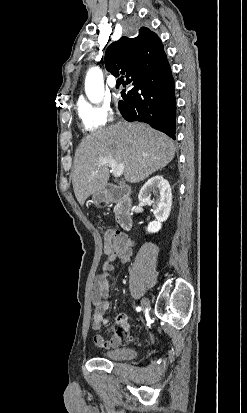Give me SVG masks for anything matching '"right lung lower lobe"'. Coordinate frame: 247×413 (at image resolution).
Returning <instances> with one entry per match:
<instances>
[{"label":"right lung lower lobe","mask_w":247,"mask_h":413,"mask_svg":"<svg viewBox=\"0 0 247 413\" xmlns=\"http://www.w3.org/2000/svg\"><path fill=\"white\" fill-rule=\"evenodd\" d=\"M130 81L134 88L118 103L123 118L145 122L175 139L176 101L168 61Z\"/></svg>","instance_id":"right-lung-lower-lobe-1"}]
</instances>
